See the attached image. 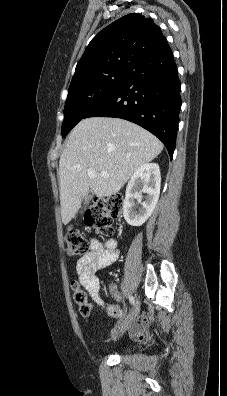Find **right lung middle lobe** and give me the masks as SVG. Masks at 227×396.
<instances>
[{"instance_id":"dd1d6c3e","label":"right lung middle lobe","mask_w":227,"mask_h":396,"mask_svg":"<svg viewBox=\"0 0 227 396\" xmlns=\"http://www.w3.org/2000/svg\"><path fill=\"white\" fill-rule=\"evenodd\" d=\"M132 70L110 69L92 75L69 87L61 134L64 137L99 103L108 98Z\"/></svg>"}]
</instances>
